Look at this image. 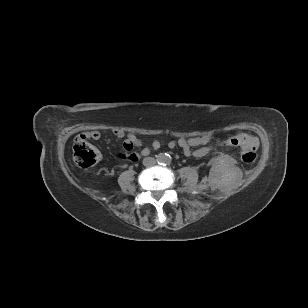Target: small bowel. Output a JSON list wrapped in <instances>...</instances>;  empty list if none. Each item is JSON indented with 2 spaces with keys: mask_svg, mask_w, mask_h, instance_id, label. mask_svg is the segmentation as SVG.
<instances>
[{
  "mask_svg": "<svg viewBox=\"0 0 308 308\" xmlns=\"http://www.w3.org/2000/svg\"><path fill=\"white\" fill-rule=\"evenodd\" d=\"M117 135L123 136V132H118ZM89 138H93L94 140H98L100 138V135L98 133H91L88 134ZM129 141L135 145L140 147L142 145L141 141L139 139H137L134 136H131ZM206 143V140L204 138H193V139H189V140H185V139H179L178 141H172L169 143V147L170 148H175V147H179L184 151V154L186 156H190V155H196V156H202L205 153V150H198V151H192L193 147H197L199 145H203ZM130 145V144H127ZM159 143L158 142H154L152 145L153 149H158L159 148ZM150 152L149 148H145L141 151L142 155H146Z\"/></svg>",
  "mask_w": 308,
  "mask_h": 308,
  "instance_id": "1",
  "label": "small bowel"
}]
</instances>
